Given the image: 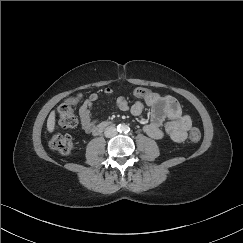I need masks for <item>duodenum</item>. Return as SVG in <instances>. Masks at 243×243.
<instances>
[{
  "label": "duodenum",
  "instance_id": "duodenum-1",
  "mask_svg": "<svg viewBox=\"0 0 243 243\" xmlns=\"http://www.w3.org/2000/svg\"><path fill=\"white\" fill-rule=\"evenodd\" d=\"M107 126H108V122L101 123L95 128L94 133L96 135L100 134Z\"/></svg>",
  "mask_w": 243,
  "mask_h": 243
}]
</instances>
